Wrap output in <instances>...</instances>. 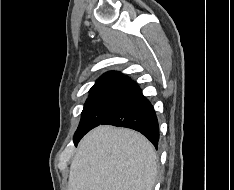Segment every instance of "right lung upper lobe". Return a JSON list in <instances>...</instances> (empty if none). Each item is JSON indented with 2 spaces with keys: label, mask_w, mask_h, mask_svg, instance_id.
<instances>
[{
  "label": "right lung upper lobe",
  "mask_w": 234,
  "mask_h": 190,
  "mask_svg": "<svg viewBox=\"0 0 234 190\" xmlns=\"http://www.w3.org/2000/svg\"><path fill=\"white\" fill-rule=\"evenodd\" d=\"M129 77L124 76L121 72L109 71L104 73L95 83L93 87L109 84L112 82H117L121 80H128ZM92 87V88H93Z\"/></svg>",
  "instance_id": "right-lung-upper-lobe-1"
}]
</instances>
